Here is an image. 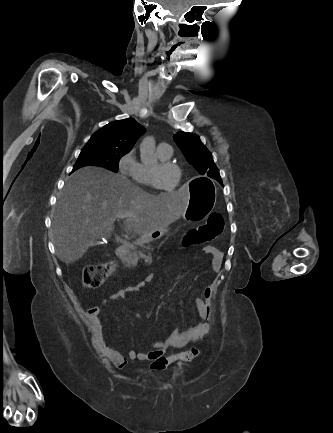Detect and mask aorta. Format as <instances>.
Segmentation results:
<instances>
[{
  "mask_svg": "<svg viewBox=\"0 0 333 433\" xmlns=\"http://www.w3.org/2000/svg\"><path fill=\"white\" fill-rule=\"evenodd\" d=\"M141 161L146 164H155V140L153 137H146L140 144Z\"/></svg>",
  "mask_w": 333,
  "mask_h": 433,
  "instance_id": "aorta-1",
  "label": "aorta"
}]
</instances>
